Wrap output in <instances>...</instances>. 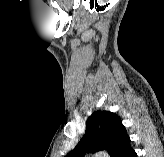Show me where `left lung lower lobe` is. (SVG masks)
Segmentation results:
<instances>
[{"instance_id": "0a47b994", "label": "left lung lower lobe", "mask_w": 164, "mask_h": 157, "mask_svg": "<svg viewBox=\"0 0 164 157\" xmlns=\"http://www.w3.org/2000/svg\"><path fill=\"white\" fill-rule=\"evenodd\" d=\"M111 157H137L136 152L130 146V138L122 142L115 149Z\"/></svg>"}]
</instances>
